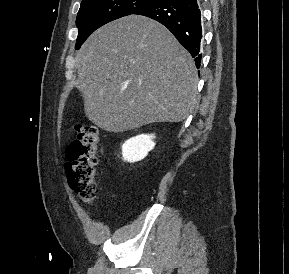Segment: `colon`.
<instances>
[{
    "label": "colon",
    "instance_id": "colon-1",
    "mask_svg": "<svg viewBox=\"0 0 289 274\" xmlns=\"http://www.w3.org/2000/svg\"><path fill=\"white\" fill-rule=\"evenodd\" d=\"M76 129V139L66 148V172L73 190L82 201L90 204L98 194L95 174L99 131L93 125H79Z\"/></svg>",
    "mask_w": 289,
    "mask_h": 274
}]
</instances>
